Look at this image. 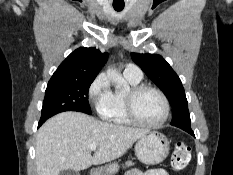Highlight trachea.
Masks as SVG:
<instances>
[{
    "label": "trachea",
    "instance_id": "trachea-1",
    "mask_svg": "<svg viewBox=\"0 0 233 175\" xmlns=\"http://www.w3.org/2000/svg\"><path fill=\"white\" fill-rule=\"evenodd\" d=\"M113 8L116 11H122L124 9V4H113Z\"/></svg>",
    "mask_w": 233,
    "mask_h": 175
}]
</instances>
